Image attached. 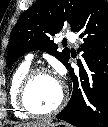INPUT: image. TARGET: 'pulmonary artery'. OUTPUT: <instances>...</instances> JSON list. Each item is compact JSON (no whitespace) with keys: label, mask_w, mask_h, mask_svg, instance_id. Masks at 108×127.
Segmentation results:
<instances>
[{"label":"pulmonary artery","mask_w":108,"mask_h":127,"mask_svg":"<svg viewBox=\"0 0 108 127\" xmlns=\"http://www.w3.org/2000/svg\"><path fill=\"white\" fill-rule=\"evenodd\" d=\"M65 36L69 41H71L73 43L76 41V35L71 32H67ZM33 57H34V54H32V53L28 54L26 56V62L30 63L32 61Z\"/></svg>","instance_id":"obj_1"}]
</instances>
